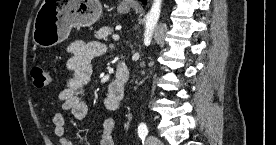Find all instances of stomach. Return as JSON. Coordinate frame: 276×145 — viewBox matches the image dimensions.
I'll return each instance as SVG.
<instances>
[{"instance_id":"0dacf381","label":"stomach","mask_w":276,"mask_h":145,"mask_svg":"<svg viewBox=\"0 0 276 145\" xmlns=\"http://www.w3.org/2000/svg\"><path fill=\"white\" fill-rule=\"evenodd\" d=\"M120 13H128L130 7L119 6ZM102 15L99 0H43L33 26V42L50 48L68 38L73 27L93 25Z\"/></svg>"}]
</instances>
